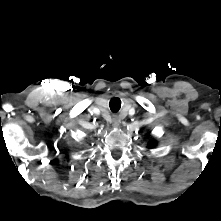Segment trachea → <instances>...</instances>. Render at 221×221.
Listing matches in <instances>:
<instances>
[{"instance_id": "3493384b", "label": "trachea", "mask_w": 221, "mask_h": 221, "mask_svg": "<svg viewBox=\"0 0 221 221\" xmlns=\"http://www.w3.org/2000/svg\"><path fill=\"white\" fill-rule=\"evenodd\" d=\"M109 107L112 112L116 113L121 108V100L117 97H114L109 102Z\"/></svg>"}]
</instances>
